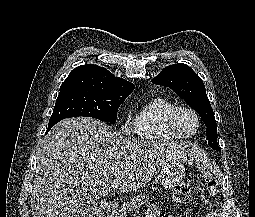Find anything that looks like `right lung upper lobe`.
<instances>
[{
    "label": "right lung upper lobe",
    "mask_w": 255,
    "mask_h": 217,
    "mask_svg": "<svg viewBox=\"0 0 255 217\" xmlns=\"http://www.w3.org/2000/svg\"><path fill=\"white\" fill-rule=\"evenodd\" d=\"M134 87L131 82L115 77L103 67L85 64L71 71L60 90L85 89L106 93H131Z\"/></svg>",
    "instance_id": "obj_1"
}]
</instances>
